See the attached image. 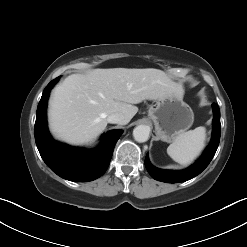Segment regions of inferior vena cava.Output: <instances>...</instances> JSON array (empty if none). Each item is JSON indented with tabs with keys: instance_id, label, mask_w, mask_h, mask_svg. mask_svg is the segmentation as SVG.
<instances>
[{
	"instance_id": "602c4592",
	"label": "inferior vena cava",
	"mask_w": 247,
	"mask_h": 247,
	"mask_svg": "<svg viewBox=\"0 0 247 247\" xmlns=\"http://www.w3.org/2000/svg\"><path fill=\"white\" fill-rule=\"evenodd\" d=\"M107 121L113 124H126L127 119L121 113H113L107 117Z\"/></svg>"
}]
</instances>
